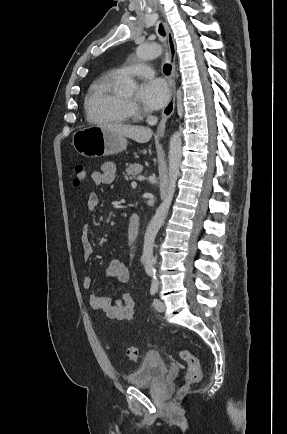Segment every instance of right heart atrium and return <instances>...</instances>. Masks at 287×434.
<instances>
[{
    "label": "right heart atrium",
    "mask_w": 287,
    "mask_h": 434,
    "mask_svg": "<svg viewBox=\"0 0 287 434\" xmlns=\"http://www.w3.org/2000/svg\"><path fill=\"white\" fill-rule=\"evenodd\" d=\"M128 108L132 114H137L139 112V107L136 103L130 102Z\"/></svg>",
    "instance_id": "1"
}]
</instances>
